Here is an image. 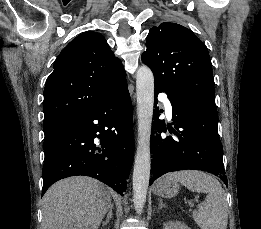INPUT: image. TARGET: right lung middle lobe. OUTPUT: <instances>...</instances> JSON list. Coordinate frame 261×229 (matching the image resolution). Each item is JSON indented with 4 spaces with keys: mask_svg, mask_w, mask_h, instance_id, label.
Returning <instances> with one entry per match:
<instances>
[{
    "mask_svg": "<svg viewBox=\"0 0 261 229\" xmlns=\"http://www.w3.org/2000/svg\"><path fill=\"white\" fill-rule=\"evenodd\" d=\"M57 131L56 130H44V134H45V138H49L51 136H53Z\"/></svg>",
    "mask_w": 261,
    "mask_h": 229,
    "instance_id": "right-lung-middle-lobe-1",
    "label": "right lung middle lobe"
}]
</instances>
